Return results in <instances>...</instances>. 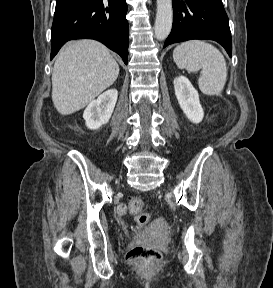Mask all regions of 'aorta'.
Returning <instances> with one entry per match:
<instances>
[{
	"label": "aorta",
	"mask_w": 273,
	"mask_h": 288,
	"mask_svg": "<svg viewBox=\"0 0 273 288\" xmlns=\"http://www.w3.org/2000/svg\"><path fill=\"white\" fill-rule=\"evenodd\" d=\"M172 0H157L154 33L157 40H165L172 28Z\"/></svg>",
	"instance_id": "1"
}]
</instances>
